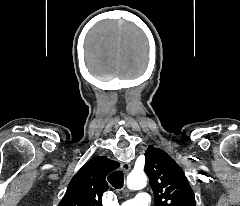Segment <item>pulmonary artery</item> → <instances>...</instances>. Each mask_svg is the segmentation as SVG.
Segmentation results:
<instances>
[{"instance_id": "obj_1", "label": "pulmonary artery", "mask_w": 240, "mask_h": 206, "mask_svg": "<svg viewBox=\"0 0 240 206\" xmlns=\"http://www.w3.org/2000/svg\"><path fill=\"white\" fill-rule=\"evenodd\" d=\"M120 206H149V195L139 192L134 198L124 201Z\"/></svg>"}]
</instances>
